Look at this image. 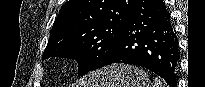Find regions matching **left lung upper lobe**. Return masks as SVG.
Listing matches in <instances>:
<instances>
[{
	"label": "left lung upper lobe",
	"mask_w": 205,
	"mask_h": 87,
	"mask_svg": "<svg viewBox=\"0 0 205 87\" xmlns=\"http://www.w3.org/2000/svg\"><path fill=\"white\" fill-rule=\"evenodd\" d=\"M137 0H69L56 18L42 59L68 57L79 75L104 66Z\"/></svg>",
	"instance_id": "1"
}]
</instances>
